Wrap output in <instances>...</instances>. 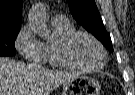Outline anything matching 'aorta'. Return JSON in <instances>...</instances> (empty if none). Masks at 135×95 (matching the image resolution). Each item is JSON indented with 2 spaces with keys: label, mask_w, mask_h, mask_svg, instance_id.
Wrapping results in <instances>:
<instances>
[{
  "label": "aorta",
  "mask_w": 135,
  "mask_h": 95,
  "mask_svg": "<svg viewBox=\"0 0 135 95\" xmlns=\"http://www.w3.org/2000/svg\"><path fill=\"white\" fill-rule=\"evenodd\" d=\"M28 22L32 31L41 38L49 39L51 37L46 25V14L43 4L38 3L32 8L28 16Z\"/></svg>",
  "instance_id": "aorta-1"
}]
</instances>
